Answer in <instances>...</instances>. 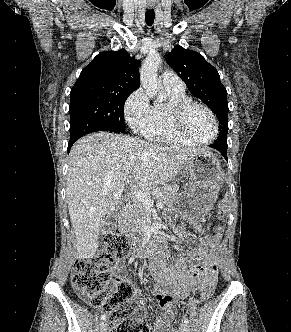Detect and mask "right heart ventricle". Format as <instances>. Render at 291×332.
Masks as SVG:
<instances>
[{"label": "right heart ventricle", "mask_w": 291, "mask_h": 332, "mask_svg": "<svg viewBox=\"0 0 291 332\" xmlns=\"http://www.w3.org/2000/svg\"><path fill=\"white\" fill-rule=\"evenodd\" d=\"M168 101L155 104L151 107L150 121L146 127L140 130L148 140L167 145L192 146L193 144L183 138L175 129L172 119L173 107L183 101L190 100L183 92L166 90Z\"/></svg>", "instance_id": "1"}]
</instances>
